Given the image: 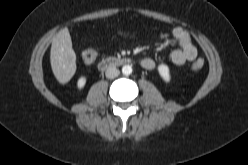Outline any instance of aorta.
I'll use <instances>...</instances> for the list:
<instances>
[{
    "label": "aorta",
    "mask_w": 248,
    "mask_h": 165,
    "mask_svg": "<svg viewBox=\"0 0 248 165\" xmlns=\"http://www.w3.org/2000/svg\"><path fill=\"white\" fill-rule=\"evenodd\" d=\"M122 73L124 75H130L132 73V67L130 65H124L122 67Z\"/></svg>",
    "instance_id": "1"
}]
</instances>
